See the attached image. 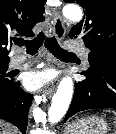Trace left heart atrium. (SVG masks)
<instances>
[{
  "mask_svg": "<svg viewBox=\"0 0 116 134\" xmlns=\"http://www.w3.org/2000/svg\"><path fill=\"white\" fill-rule=\"evenodd\" d=\"M52 78V74L48 71L31 72L24 78V84L29 90H37L47 84Z\"/></svg>",
  "mask_w": 116,
  "mask_h": 134,
  "instance_id": "left-heart-atrium-1",
  "label": "left heart atrium"
}]
</instances>
